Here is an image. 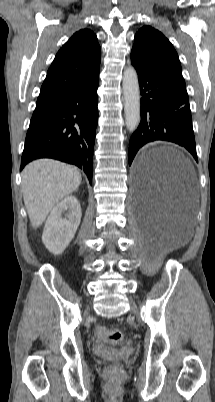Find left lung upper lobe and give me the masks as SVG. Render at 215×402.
<instances>
[{
    "mask_svg": "<svg viewBox=\"0 0 215 402\" xmlns=\"http://www.w3.org/2000/svg\"><path fill=\"white\" fill-rule=\"evenodd\" d=\"M131 62L132 65L160 75L186 91L177 52L157 29L151 26L139 29L131 50Z\"/></svg>",
    "mask_w": 215,
    "mask_h": 402,
    "instance_id": "left-lung-upper-lobe-1",
    "label": "left lung upper lobe"
}]
</instances>
